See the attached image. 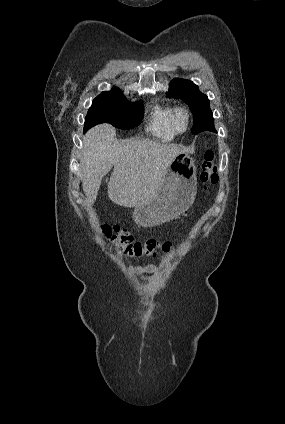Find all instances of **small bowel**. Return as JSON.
I'll list each match as a JSON object with an SVG mask.
<instances>
[{"mask_svg":"<svg viewBox=\"0 0 285 424\" xmlns=\"http://www.w3.org/2000/svg\"><path fill=\"white\" fill-rule=\"evenodd\" d=\"M132 272L134 274H145V275H156L158 272V268L155 265H147V266H138V267H134L132 269ZM148 288V282H144L141 286H140V291H146V289Z\"/></svg>","mask_w":285,"mask_h":424,"instance_id":"c3829d8e","label":"small bowel"}]
</instances>
